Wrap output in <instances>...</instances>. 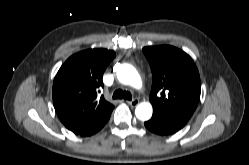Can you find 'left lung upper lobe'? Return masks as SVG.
I'll return each mask as SVG.
<instances>
[{"mask_svg":"<svg viewBox=\"0 0 249 165\" xmlns=\"http://www.w3.org/2000/svg\"><path fill=\"white\" fill-rule=\"evenodd\" d=\"M152 71L154 112L188 121L200 100V76L192 58L169 45L143 48Z\"/></svg>","mask_w":249,"mask_h":165,"instance_id":"1","label":"left lung upper lobe"}]
</instances>
